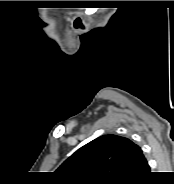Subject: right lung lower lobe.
Instances as JSON below:
<instances>
[{
	"mask_svg": "<svg viewBox=\"0 0 174 184\" xmlns=\"http://www.w3.org/2000/svg\"><path fill=\"white\" fill-rule=\"evenodd\" d=\"M150 174L149 165L136 177L130 179L129 181L122 182L121 184H142L145 178Z\"/></svg>",
	"mask_w": 174,
	"mask_h": 184,
	"instance_id": "obj_1",
	"label": "right lung lower lobe"
}]
</instances>
